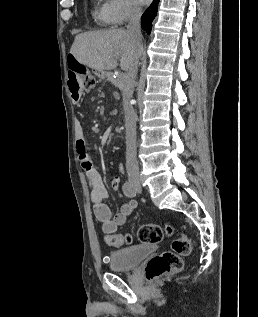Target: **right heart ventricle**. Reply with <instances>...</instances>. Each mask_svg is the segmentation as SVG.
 I'll use <instances>...</instances> for the list:
<instances>
[{"label":"right heart ventricle","instance_id":"1","mask_svg":"<svg viewBox=\"0 0 258 317\" xmlns=\"http://www.w3.org/2000/svg\"><path fill=\"white\" fill-rule=\"evenodd\" d=\"M93 19L99 25L108 24V0L96 4L93 11Z\"/></svg>","mask_w":258,"mask_h":317}]
</instances>
